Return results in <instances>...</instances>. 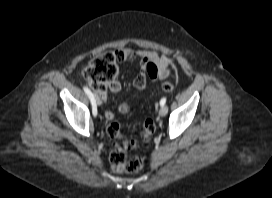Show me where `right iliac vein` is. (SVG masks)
<instances>
[{"label":"right iliac vein","mask_w":272,"mask_h":198,"mask_svg":"<svg viewBox=\"0 0 272 198\" xmlns=\"http://www.w3.org/2000/svg\"><path fill=\"white\" fill-rule=\"evenodd\" d=\"M96 102H97V104H101V101L99 100V98L96 96Z\"/></svg>","instance_id":"right-iliac-vein-1"}]
</instances>
